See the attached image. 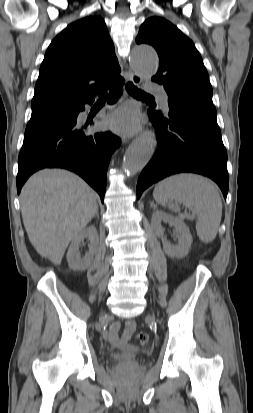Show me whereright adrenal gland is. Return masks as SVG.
Listing matches in <instances>:
<instances>
[{
	"instance_id": "right-adrenal-gland-1",
	"label": "right adrenal gland",
	"mask_w": 253,
	"mask_h": 413,
	"mask_svg": "<svg viewBox=\"0 0 253 413\" xmlns=\"http://www.w3.org/2000/svg\"><path fill=\"white\" fill-rule=\"evenodd\" d=\"M95 216H96L97 218H99V212H98V209L96 210V214H95Z\"/></svg>"
}]
</instances>
